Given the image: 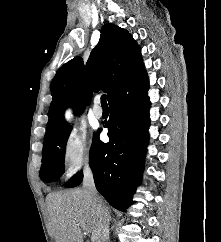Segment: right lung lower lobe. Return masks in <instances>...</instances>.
<instances>
[{"mask_svg": "<svg viewBox=\"0 0 221 242\" xmlns=\"http://www.w3.org/2000/svg\"><path fill=\"white\" fill-rule=\"evenodd\" d=\"M149 80L146 71L122 84L109 100L111 115L105 123L109 142L94 135L90 166L97 190L116 209L125 211L141 179L148 144ZM82 172L74 175L67 188L78 186Z\"/></svg>", "mask_w": 221, "mask_h": 242, "instance_id": "1", "label": "right lung lower lobe"}]
</instances>
